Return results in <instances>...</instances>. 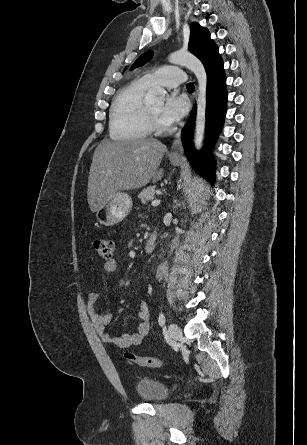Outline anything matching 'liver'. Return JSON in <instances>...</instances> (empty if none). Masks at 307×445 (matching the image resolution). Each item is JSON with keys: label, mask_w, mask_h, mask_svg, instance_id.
Segmentation results:
<instances>
[{"label": "liver", "mask_w": 307, "mask_h": 445, "mask_svg": "<svg viewBox=\"0 0 307 445\" xmlns=\"http://www.w3.org/2000/svg\"><path fill=\"white\" fill-rule=\"evenodd\" d=\"M167 150L157 138L139 140H108L103 138L94 150L89 176L87 198L92 212L120 190L141 188L147 182H157L163 168L157 170Z\"/></svg>", "instance_id": "6515ba94"}]
</instances>
